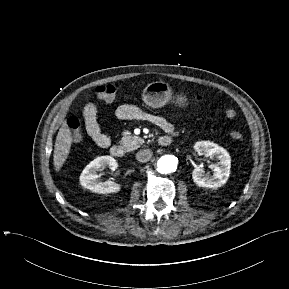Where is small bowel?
<instances>
[{
    "label": "small bowel",
    "instance_id": "obj_1",
    "mask_svg": "<svg viewBox=\"0 0 289 289\" xmlns=\"http://www.w3.org/2000/svg\"><path fill=\"white\" fill-rule=\"evenodd\" d=\"M98 110L95 103H88L83 109L86 131L93 141L102 148H107L111 144V139L108 135L102 132L98 121ZM115 114L117 118L122 120H146L159 128H161L170 138V134L174 128L165 118L150 114L140 107L133 104H123L117 107Z\"/></svg>",
    "mask_w": 289,
    "mask_h": 289
}]
</instances>
